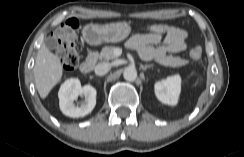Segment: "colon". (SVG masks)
Masks as SVG:
<instances>
[{"instance_id":"colon-1","label":"colon","mask_w":244,"mask_h":157,"mask_svg":"<svg viewBox=\"0 0 244 157\" xmlns=\"http://www.w3.org/2000/svg\"><path fill=\"white\" fill-rule=\"evenodd\" d=\"M79 23L71 18L63 22L55 31L54 38L58 42L57 55L65 69L73 70L79 63V54L76 48L77 31ZM170 28L167 24L154 23L147 26L150 33H165ZM202 49L195 46L190 50V57L193 60L201 58Z\"/></svg>"}]
</instances>
